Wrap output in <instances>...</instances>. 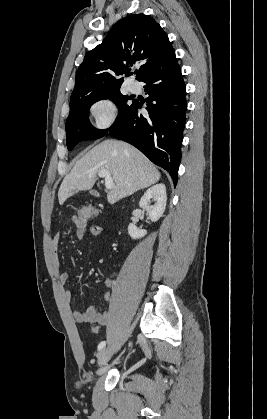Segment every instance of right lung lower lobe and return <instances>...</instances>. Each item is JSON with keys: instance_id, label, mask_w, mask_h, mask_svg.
Wrapping results in <instances>:
<instances>
[{"instance_id": "98d812e1", "label": "right lung lower lobe", "mask_w": 267, "mask_h": 419, "mask_svg": "<svg viewBox=\"0 0 267 419\" xmlns=\"http://www.w3.org/2000/svg\"><path fill=\"white\" fill-rule=\"evenodd\" d=\"M148 115L143 116V103L134 100L127 114L109 128V133L126 141L154 164L171 175L174 185L181 160V144L186 123V85L177 61L152 71L143 80Z\"/></svg>"}]
</instances>
